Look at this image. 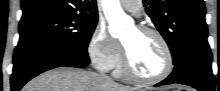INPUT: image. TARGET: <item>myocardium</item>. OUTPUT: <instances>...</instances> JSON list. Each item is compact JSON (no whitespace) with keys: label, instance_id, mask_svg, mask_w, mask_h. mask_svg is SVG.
<instances>
[{"label":"myocardium","instance_id":"myocardium-1","mask_svg":"<svg viewBox=\"0 0 220 91\" xmlns=\"http://www.w3.org/2000/svg\"><path fill=\"white\" fill-rule=\"evenodd\" d=\"M136 29L140 31L141 33L150 34L158 40L165 55V66H164V69L159 74L154 75V76H144V75L138 74L137 72L133 70L130 64L127 51L124 45L122 44V71L123 73L132 80H135L141 83H147V84L157 83V82H160L166 79L171 74L173 67H174L173 53L166 38L158 30L152 27L138 26Z\"/></svg>","mask_w":220,"mask_h":91}]
</instances>
